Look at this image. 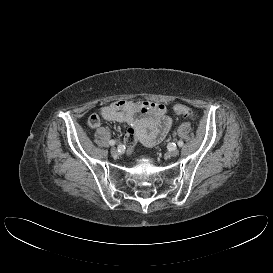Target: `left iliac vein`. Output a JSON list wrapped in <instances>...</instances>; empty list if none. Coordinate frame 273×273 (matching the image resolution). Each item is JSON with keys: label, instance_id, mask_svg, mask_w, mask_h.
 <instances>
[{"label": "left iliac vein", "instance_id": "left-iliac-vein-1", "mask_svg": "<svg viewBox=\"0 0 273 273\" xmlns=\"http://www.w3.org/2000/svg\"><path fill=\"white\" fill-rule=\"evenodd\" d=\"M178 154H179V150L177 148L170 150L168 153L170 157H176Z\"/></svg>", "mask_w": 273, "mask_h": 273}]
</instances>
